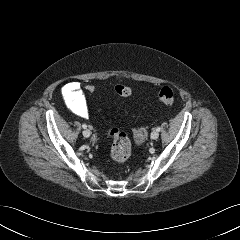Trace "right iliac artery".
Instances as JSON below:
<instances>
[{"mask_svg":"<svg viewBox=\"0 0 240 240\" xmlns=\"http://www.w3.org/2000/svg\"><path fill=\"white\" fill-rule=\"evenodd\" d=\"M82 127H83L84 129H86V128H87V125H86V124H83Z\"/></svg>","mask_w":240,"mask_h":240,"instance_id":"82829eb1","label":"right iliac artery"}]
</instances>
